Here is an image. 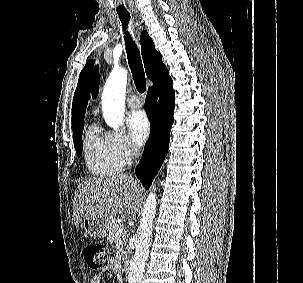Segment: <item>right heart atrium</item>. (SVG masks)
<instances>
[{
	"label": "right heart atrium",
	"mask_w": 303,
	"mask_h": 283,
	"mask_svg": "<svg viewBox=\"0 0 303 283\" xmlns=\"http://www.w3.org/2000/svg\"><path fill=\"white\" fill-rule=\"evenodd\" d=\"M104 136L111 152L123 166L138 155V147L126 135L117 132H106Z\"/></svg>",
	"instance_id": "d8ad5b80"
}]
</instances>
